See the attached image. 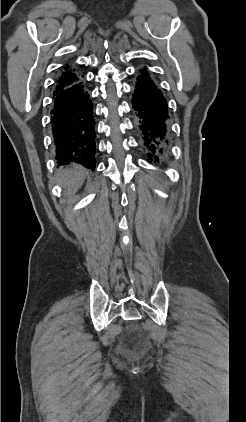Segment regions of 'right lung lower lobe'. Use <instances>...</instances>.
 <instances>
[{
  "instance_id": "right-lung-lower-lobe-1",
  "label": "right lung lower lobe",
  "mask_w": 246,
  "mask_h": 422,
  "mask_svg": "<svg viewBox=\"0 0 246 422\" xmlns=\"http://www.w3.org/2000/svg\"><path fill=\"white\" fill-rule=\"evenodd\" d=\"M51 124L58 164L79 163L94 170L95 122L83 76L70 84L56 87Z\"/></svg>"
}]
</instances>
